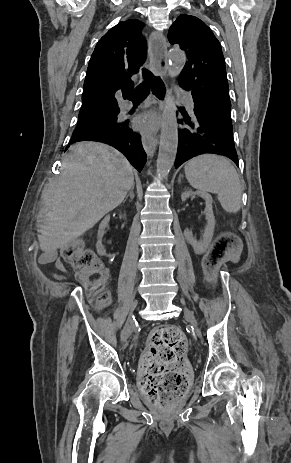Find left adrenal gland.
Wrapping results in <instances>:
<instances>
[{
	"label": "left adrenal gland",
	"instance_id": "a2214340",
	"mask_svg": "<svg viewBox=\"0 0 291 463\" xmlns=\"http://www.w3.org/2000/svg\"><path fill=\"white\" fill-rule=\"evenodd\" d=\"M181 177H182V175H180V177H179V180H178L179 183L181 182Z\"/></svg>",
	"mask_w": 291,
	"mask_h": 463
}]
</instances>
